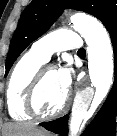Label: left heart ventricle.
<instances>
[{"instance_id": "1", "label": "left heart ventricle", "mask_w": 117, "mask_h": 136, "mask_svg": "<svg viewBox=\"0 0 117 136\" xmlns=\"http://www.w3.org/2000/svg\"><path fill=\"white\" fill-rule=\"evenodd\" d=\"M67 92L60 86L57 71L51 69L38 91L37 104L42 113L48 114L56 111L63 104Z\"/></svg>"}]
</instances>
